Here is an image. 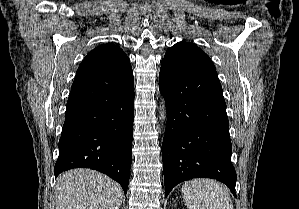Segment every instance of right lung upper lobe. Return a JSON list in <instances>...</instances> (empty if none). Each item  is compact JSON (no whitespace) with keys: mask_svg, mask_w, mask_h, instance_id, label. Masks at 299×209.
<instances>
[{"mask_svg":"<svg viewBox=\"0 0 299 209\" xmlns=\"http://www.w3.org/2000/svg\"><path fill=\"white\" fill-rule=\"evenodd\" d=\"M114 70L121 77L132 74L129 58L114 44H103L90 51L78 67L77 73Z\"/></svg>","mask_w":299,"mask_h":209,"instance_id":"1","label":"right lung upper lobe"}]
</instances>
